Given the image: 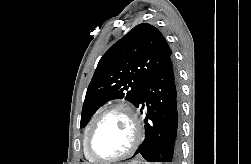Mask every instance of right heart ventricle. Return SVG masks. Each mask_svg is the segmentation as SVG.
Instances as JSON below:
<instances>
[{"label":"right heart ventricle","mask_w":251,"mask_h":164,"mask_svg":"<svg viewBox=\"0 0 251 164\" xmlns=\"http://www.w3.org/2000/svg\"><path fill=\"white\" fill-rule=\"evenodd\" d=\"M95 118H96V117H93V118L90 120V122L88 123V125H87V127H86V129H85V133H84V153H85L86 158H87L89 161H93V160L87 155V153H86V151H85V141H86V137H87L88 131H89L90 127H91V124H92V122L94 121Z\"/></svg>","instance_id":"right-heart-ventricle-1"}]
</instances>
